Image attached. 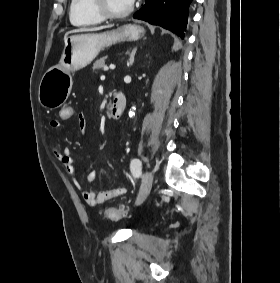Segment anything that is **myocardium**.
I'll return each instance as SVG.
<instances>
[{
	"label": "myocardium",
	"mask_w": 280,
	"mask_h": 283,
	"mask_svg": "<svg viewBox=\"0 0 280 283\" xmlns=\"http://www.w3.org/2000/svg\"><path fill=\"white\" fill-rule=\"evenodd\" d=\"M91 5L93 9L103 18V19H121L126 16H128L133 8L134 4L133 2L130 4V6L123 12L115 13L110 11L107 6H106V1L105 0H90Z\"/></svg>",
	"instance_id": "obj_1"
}]
</instances>
